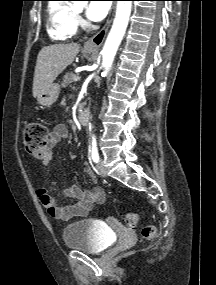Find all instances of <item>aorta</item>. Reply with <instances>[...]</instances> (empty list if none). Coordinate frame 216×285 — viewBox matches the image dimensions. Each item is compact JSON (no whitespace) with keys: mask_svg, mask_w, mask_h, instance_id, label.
Instances as JSON below:
<instances>
[{"mask_svg":"<svg viewBox=\"0 0 216 285\" xmlns=\"http://www.w3.org/2000/svg\"><path fill=\"white\" fill-rule=\"evenodd\" d=\"M131 8L132 1L117 2L115 19L101 52L103 57L102 65L105 68V72H108L113 64L114 57L128 25Z\"/></svg>","mask_w":216,"mask_h":285,"instance_id":"1","label":"aorta"}]
</instances>
